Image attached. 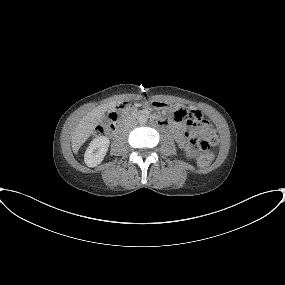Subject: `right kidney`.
Masks as SVG:
<instances>
[{"label":"right kidney","mask_w":285,"mask_h":285,"mask_svg":"<svg viewBox=\"0 0 285 285\" xmlns=\"http://www.w3.org/2000/svg\"><path fill=\"white\" fill-rule=\"evenodd\" d=\"M109 144V139L105 136L93 139L87 147L84 155L86 165L89 167L99 165L108 151Z\"/></svg>","instance_id":"right-kidney-1"}]
</instances>
